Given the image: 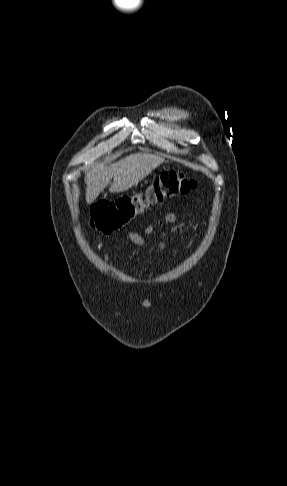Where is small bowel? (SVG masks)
<instances>
[{
    "label": "small bowel",
    "instance_id": "small-bowel-1",
    "mask_svg": "<svg viewBox=\"0 0 287 486\" xmlns=\"http://www.w3.org/2000/svg\"><path fill=\"white\" fill-rule=\"evenodd\" d=\"M162 220L165 222V223H168V224H171V225H177L178 224V218L177 216L174 214V213H167L165 214L163 217H162ZM156 227H157V224L156 223H151L149 225H147L144 230H143V234L144 235H151L155 232L156 230ZM127 238L135 245L137 246H144L146 244V241H145V238L143 235L137 233V232H127ZM157 246L158 248L161 250V251H165L166 250V244L162 241V240H158L157 241Z\"/></svg>",
    "mask_w": 287,
    "mask_h": 486
}]
</instances>
